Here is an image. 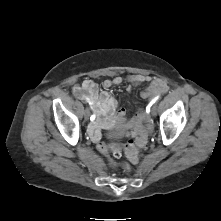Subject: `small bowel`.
<instances>
[{"mask_svg": "<svg viewBox=\"0 0 221 221\" xmlns=\"http://www.w3.org/2000/svg\"><path fill=\"white\" fill-rule=\"evenodd\" d=\"M130 83L129 89L142 83H149L148 87L141 93L145 99L153 98L163 94L168 90V84L161 78H151L147 75L132 74L127 77ZM123 78L115 76L107 78L103 82L104 88L120 85ZM73 94L86 100L96 114L97 120L89 126V135L94 141L101 138L102 129L112 128L118 121L124 120L126 110L119 108L115 98L106 90L99 91L97 84L92 80H85L82 84L73 88ZM144 112L140 111L134 118L133 123L139 125L144 117Z\"/></svg>", "mask_w": 221, "mask_h": 221, "instance_id": "obj_1", "label": "small bowel"}]
</instances>
